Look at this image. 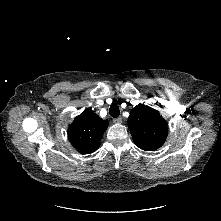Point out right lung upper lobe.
I'll use <instances>...</instances> for the list:
<instances>
[{"label":"right lung upper lobe","mask_w":221,"mask_h":221,"mask_svg":"<svg viewBox=\"0 0 221 221\" xmlns=\"http://www.w3.org/2000/svg\"><path fill=\"white\" fill-rule=\"evenodd\" d=\"M108 121L101 119L91 109H85L68 128V138L72 146L82 154L96 151L107 129Z\"/></svg>","instance_id":"right-lung-upper-lobe-1"}]
</instances>
